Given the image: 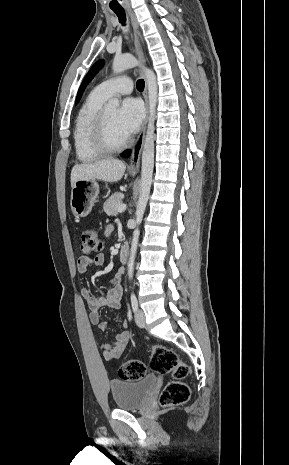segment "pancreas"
<instances>
[{
    "label": "pancreas",
    "mask_w": 289,
    "mask_h": 465,
    "mask_svg": "<svg viewBox=\"0 0 289 465\" xmlns=\"http://www.w3.org/2000/svg\"><path fill=\"white\" fill-rule=\"evenodd\" d=\"M123 194L116 192L109 199H107L103 205V209L108 216L116 215L118 213V207L122 203Z\"/></svg>",
    "instance_id": "1"
}]
</instances>
